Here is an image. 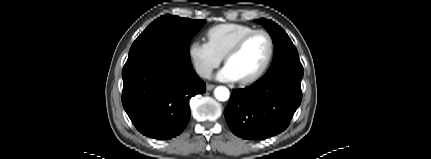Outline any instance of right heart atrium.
Instances as JSON below:
<instances>
[{
	"label": "right heart atrium",
	"mask_w": 431,
	"mask_h": 159,
	"mask_svg": "<svg viewBox=\"0 0 431 159\" xmlns=\"http://www.w3.org/2000/svg\"><path fill=\"white\" fill-rule=\"evenodd\" d=\"M188 55L196 72L203 78L210 77L213 70L218 67L223 59L209 42L201 39L191 41L188 47Z\"/></svg>",
	"instance_id": "1"
}]
</instances>
